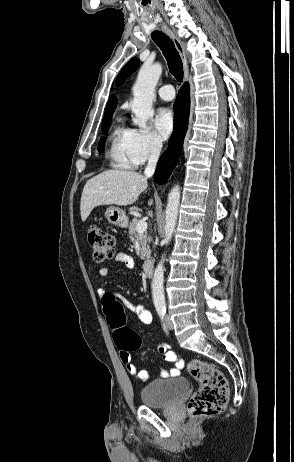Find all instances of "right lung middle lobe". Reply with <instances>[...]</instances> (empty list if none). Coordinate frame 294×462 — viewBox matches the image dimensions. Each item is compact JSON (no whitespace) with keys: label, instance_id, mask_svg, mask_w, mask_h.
Masks as SVG:
<instances>
[{"label":"right lung middle lobe","instance_id":"obj_1","mask_svg":"<svg viewBox=\"0 0 294 462\" xmlns=\"http://www.w3.org/2000/svg\"><path fill=\"white\" fill-rule=\"evenodd\" d=\"M111 118H112V115H108V116H105V117L103 118V122H102V131H103L104 133L107 132V130H108L109 126H110V120H111ZM103 146H104V142H103V140H101L100 143H99V150H102Z\"/></svg>","mask_w":294,"mask_h":462}]
</instances>
